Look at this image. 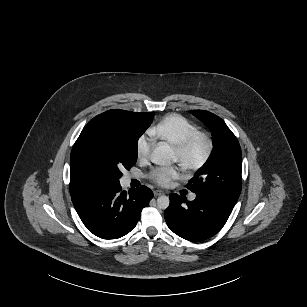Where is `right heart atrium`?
<instances>
[{
    "instance_id": "1",
    "label": "right heart atrium",
    "mask_w": 307,
    "mask_h": 307,
    "mask_svg": "<svg viewBox=\"0 0 307 307\" xmlns=\"http://www.w3.org/2000/svg\"><path fill=\"white\" fill-rule=\"evenodd\" d=\"M154 149V141L149 136H142L137 141L135 147L136 158L138 161L144 163L149 159L150 154Z\"/></svg>"
}]
</instances>
